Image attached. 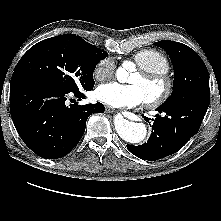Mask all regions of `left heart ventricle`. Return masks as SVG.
<instances>
[{"instance_id": "left-heart-ventricle-1", "label": "left heart ventricle", "mask_w": 221, "mask_h": 221, "mask_svg": "<svg viewBox=\"0 0 221 221\" xmlns=\"http://www.w3.org/2000/svg\"><path fill=\"white\" fill-rule=\"evenodd\" d=\"M128 82L138 85L143 90L146 100L157 96L163 89V85L160 82L147 80L138 72L133 73Z\"/></svg>"}]
</instances>
